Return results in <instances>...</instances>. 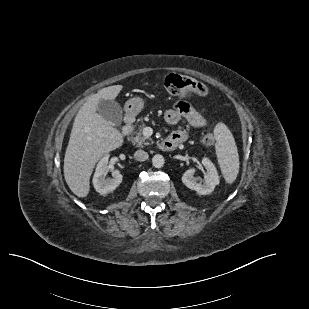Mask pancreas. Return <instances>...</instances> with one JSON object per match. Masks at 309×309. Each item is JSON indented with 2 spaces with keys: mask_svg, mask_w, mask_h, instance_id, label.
Returning <instances> with one entry per match:
<instances>
[{
  "mask_svg": "<svg viewBox=\"0 0 309 309\" xmlns=\"http://www.w3.org/2000/svg\"><path fill=\"white\" fill-rule=\"evenodd\" d=\"M145 127V124L141 122L138 125V130L133 131V136L131 137V141L136 144L138 147H143L144 145H149L150 142L147 141V138L143 136L142 130ZM150 140V139H149Z\"/></svg>",
  "mask_w": 309,
  "mask_h": 309,
  "instance_id": "obj_1",
  "label": "pancreas"
}]
</instances>
